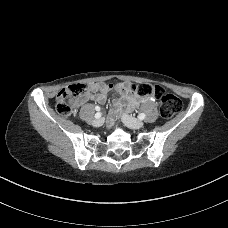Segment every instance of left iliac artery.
I'll return each mask as SVG.
<instances>
[{"mask_svg":"<svg viewBox=\"0 0 228 228\" xmlns=\"http://www.w3.org/2000/svg\"><path fill=\"white\" fill-rule=\"evenodd\" d=\"M145 114L144 113H140L139 115H138V118L140 119V120H143L144 118H145Z\"/></svg>","mask_w":228,"mask_h":228,"instance_id":"1","label":"left iliac artery"}]
</instances>
